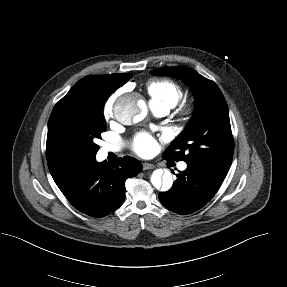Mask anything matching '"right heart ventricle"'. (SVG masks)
I'll use <instances>...</instances> for the list:
<instances>
[{"instance_id":"e07e8e85","label":"right heart ventricle","mask_w":287,"mask_h":287,"mask_svg":"<svg viewBox=\"0 0 287 287\" xmlns=\"http://www.w3.org/2000/svg\"><path fill=\"white\" fill-rule=\"evenodd\" d=\"M151 104L173 108L182 98L181 86L169 79H153L147 83Z\"/></svg>"}]
</instances>
